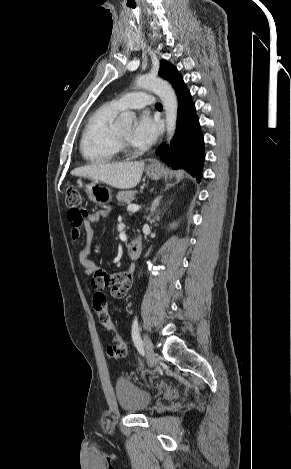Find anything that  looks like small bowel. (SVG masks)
<instances>
[{
    "label": "small bowel",
    "instance_id": "small-bowel-1",
    "mask_svg": "<svg viewBox=\"0 0 291 469\" xmlns=\"http://www.w3.org/2000/svg\"><path fill=\"white\" fill-rule=\"evenodd\" d=\"M106 214L107 211H101L91 215L86 213L82 217H78L75 212H69L68 222L71 227L70 235L72 240L77 242L81 237L82 227L86 231H90L91 223L99 221L100 218ZM80 262L86 268L87 273L91 275L89 287L93 293V300L96 293L102 294L106 288L110 289V294L114 298L120 299L127 294L132 283L133 266L127 271L111 274L99 268L95 263L87 260L83 255L80 256Z\"/></svg>",
    "mask_w": 291,
    "mask_h": 469
}]
</instances>
